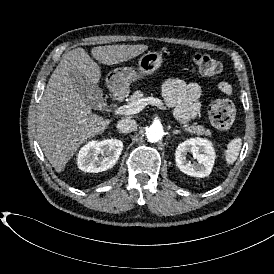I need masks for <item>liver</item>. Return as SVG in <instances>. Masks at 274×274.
<instances>
[{"label":"liver","instance_id":"liver-1","mask_svg":"<svg viewBox=\"0 0 274 274\" xmlns=\"http://www.w3.org/2000/svg\"><path fill=\"white\" fill-rule=\"evenodd\" d=\"M148 47L145 44L96 46L91 56L98 63L113 66L139 56ZM101 73L87 51L78 47L63 56L46 85L36 112V130L43 153L58 173L63 172L81 146L103 134L112 122L99 115L89 117L92 107L82 94L86 84L101 83Z\"/></svg>","mask_w":274,"mask_h":274}]
</instances>
